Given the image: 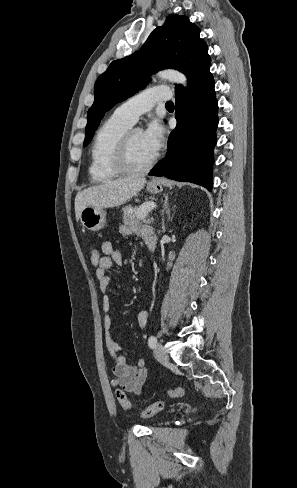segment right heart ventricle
Masks as SVG:
<instances>
[{
    "mask_svg": "<svg viewBox=\"0 0 297 488\" xmlns=\"http://www.w3.org/2000/svg\"><path fill=\"white\" fill-rule=\"evenodd\" d=\"M132 124L113 113L97 131L90 152L89 174L95 182L116 179L120 173L113 165L116 147Z\"/></svg>",
    "mask_w": 297,
    "mask_h": 488,
    "instance_id": "obj_1",
    "label": "right heart ventricle"
}]
</instances>
